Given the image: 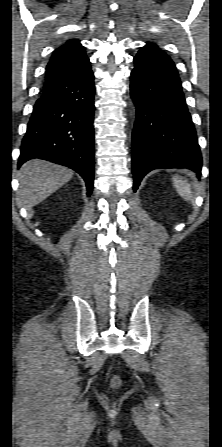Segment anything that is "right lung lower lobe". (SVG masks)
Here are the masks:
<instances>
[{
  "mask_svg": "<svg viewBox=\"0 0 222 447\" xmlns=\"http://www.w3.org/2000/svg\"><path fill=\"white\" fill-rule=\"evenodd\" d=\"M94 74L89 58L36 101L18 167L40 158L79 173L90 196L94 181Z\"/></svg>",
  "mask_w": 222,
  "mask_h": 447,
  "instance_id": "right-lung-lower-lobe-1",
  "label": "right lung lower lobe"
}]
</instances>
